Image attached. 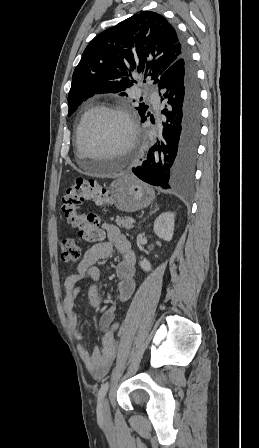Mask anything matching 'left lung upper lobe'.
Wrapping results in <instances>:
<instances>
[{
	"label": "left lung upper lobe",
	"mask_w": 259,
	"mask_h": 448,
	"mask_svg": "<svg viewBox=\"0 0 259 448\" xmlns=\"http://www.w3.org/2000/svg\"><path fill=\"white\" fill-rule=\"evenodd\" d=\"M182 56V42L162 15L144 11L100 33L86 47L74 70L68 95L71 115L78 105L98 93H120L137 83L132 72L151 76L154 84ZM144 83L146 80L143 81ZM142 117L148 105L136 108Z\"/></svg>",
	"instance_id": "5c2ea615"
}]
</instances>
